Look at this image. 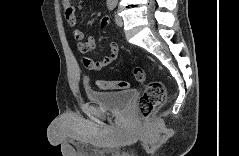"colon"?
<instances>
[{
  "label": "colon",
  "instance_id": "colon-1",
  "mask_svg": "<svg viewBox=\"0 0 239 156\" xmlns=\"http://www.w3.org/2000/svg\"><path fill=\"white\" fill-rule=\"evenodd\" d=\"M134 75L138 82H145L146 72L142 67L134 68ZM97 85L104 90L125 89L129 87L127 81H98ZM166 101V87L162 80H154L148 83L140 97L137 109L141 117L151 116Z\"/></svg>",
  "mask_w": 239,
  "mask_h": 156
}]
</instances>
